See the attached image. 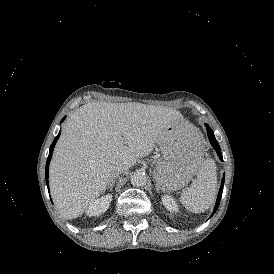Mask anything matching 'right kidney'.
<instances>
[{
	"mask_svg": "<svg viewBox=\"0 0 274 274\" xmlns=\"http://www.w3.org/2000/svg\"><path fill=\"white\" fill-rule=\"evenodd\" d=\"M111 200V194H107L98 199H95L94 201L89 203L88 208L86 209V215L89 217L101 215L102 213L107 211Z\"/></svg>",
	"mask_w": 274,
	"mask_h": 274,
	"instance_id": "right-kidney-1",
	"label": "right kidney"
}]
</instances>
